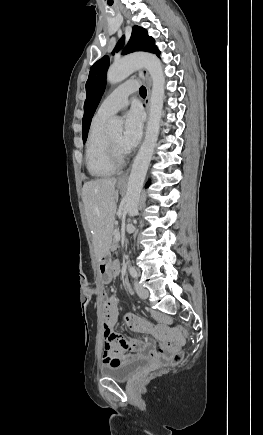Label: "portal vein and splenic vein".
<instances>
[{
  "mask_svg": "<svg viewBox=\"0 0 263 435\" xmlns=\"http://www.w3.org/2000/svg\"><path fill=\"white\" fill-rule=\"evenodd\" d=\"M115 239L116 240H120V232L119 231L116 232Z\"/></svg>",
  "mask_w": 263,
  "mask_h": 435,
  "instance_id": "18ae733b",
  "label": "portal vein and splenic vein"
}]
</instances>
